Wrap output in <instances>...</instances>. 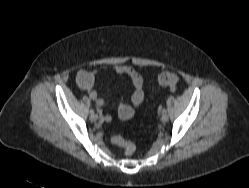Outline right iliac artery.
Returning a JSON list of instances; mask_svg holds the SVG:
<instances>
[{
	"label": "right iliac artery",
	"mask_w": 249,
	"mask_h": 188,
	"mask_svg": "<svg viewBox=\"0 0 249 188\" xmlns=\"http://www.w3.org/2000/svg\"><path fill=\"white\" fill-rule=\"evenodd\" d=\"M90 114H94V110L93 109L90 110Z\"/></svg>",
	"instance_id": "1"
}]
</instances>
